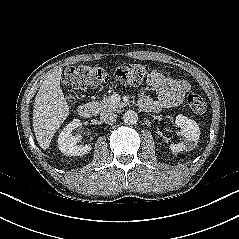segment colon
I'll return each mask as SVG.
<instances>
[{"mask_svg": "<svg viewBox=\"0 0 239 239\" xmlns=\"http://www.w3.org/2000/svg\"><path fill=\"white\" fill-rule=\"evenodd\" d=\"M147 73V67L140 63L122 64L112 72L101 67L79 65L65 71L63 83L68 89H83L97 87L113 79L125 86H137L144 81ZM187 103L196 114H202L206 110V102L197 92L188 94Z\"/></svg>", "mask_w": 239, "mask_h": 239, "instance_id": "obj_1", "label": "colon"}]
</instances>
